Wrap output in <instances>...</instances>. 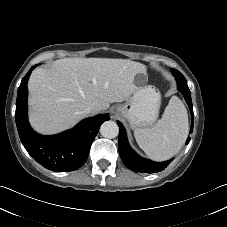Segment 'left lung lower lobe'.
Here are the masks:
<instances>
[{
	"mask_svg": "<svg viewBox=\"0 0 227 227\" xmlns=\"http://www.w3.org/2000/svg\"><path fill=\"white\" fill-rule=\"evenodd\" d=\"M178 90L184 95V98L190 108L191 112V128L190 133L193 131V105L191 100V92L186 84V79L182 74H175ZM119 126V139H118V147H119V154L123 161V163L132 171L134 172H142V173H156L159 171L164 170L170 160L165 162H154L148 159H144L139 156L136 152H134L127 140L126 131L120 122L117 123ZM190 137H188L186 144L189 143Z\"/></svg>",
	"mask_w": 227,
	"mask_h": 227,
	"instance_id": "left-lung-lower-lobe-1",
	"label": "left lung lower lobe"
}]
</instances>
